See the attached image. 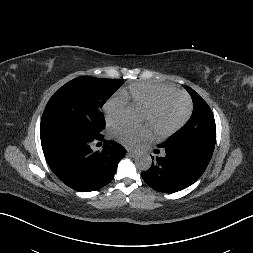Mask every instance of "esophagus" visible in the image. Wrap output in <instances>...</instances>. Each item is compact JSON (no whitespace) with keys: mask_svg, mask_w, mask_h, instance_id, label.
I'll return each mask as SVG.
<instances>
[{"mask_svg":"<svg viewBox=\"0 0 253 253\" xmlns=\"http://www.w3.org/2000/svg\"><path fill=\"white\" fill-rule=\"evenodd\" d=\"M127 152L131 157H136L138 155V152L133 149H127Z\"/></svg>","mask_w":253,"mask_h":253,"instance_id":"esophagus-1","label":"esophagus"}]
</instances>
